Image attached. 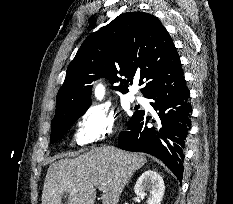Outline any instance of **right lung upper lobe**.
<instances>
[{"label":"right lung upper lobe","instance_id":"obj_1","mask_svg":"<svg viewBox=\"0 0 233 204\" xmlns=\"http://www.w3.org/2000/svg\"><path fill=\"white\" fill-rule=\"evenodd\" d=\"M180 62L178 52L165 27L154 15L132 11L119 15L91 34L69 64L57 94L56 121L91 105V83L106 77L121 93L140 75L144 95L148 87ZM121 77L127 78L122 79Z\"/></svg>","mask_w":233,"mask_h":204}]
</instances>
